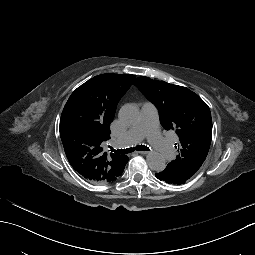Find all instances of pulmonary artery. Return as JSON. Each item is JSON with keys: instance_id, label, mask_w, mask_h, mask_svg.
<instances>
[{"instance_id": "obj_1", "label": "pulmonary artery", "mask_w": 255, "mask_h": 255, "mask_svg": "<svg viewBox=\"0 0 255 255\" xmlns=\"http://www.w3.org/2000/svg\"><path fill=\"white\" fill-rule=\"evenodd\" d=\"M157 116L156 107L151 102H145L141 109V119L137 126L131 128L127 133L114 141L111 146L114 149H122L133 146L139 143L145 137H148L151 143L163 154L170 162L177 160V155L174 152V146L169 144L167 140L160 137L158 133L159 124L154 118Z\"/></svg>"}]
</instances>
